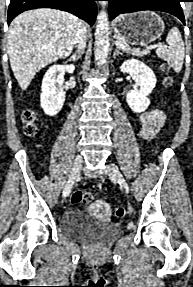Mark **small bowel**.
I'll use <instances>...</instances> for the list:
<instances>
[{"instance_id":"small-bowel-1","label":"small bowel","mask_w":193,"mask_h":287,"mask_svg":"<svg viewBox=\"0 0 193 287\" xmlns=\"http://www.w3.org/2000/svg\"><path fill=\"white\" fill-rule=\"evenodd\" d=\"M139 131L145 139H151L162 127L165 121V113L159 105L151 110L138 114Z\"/></svg>"}]
</instances>
